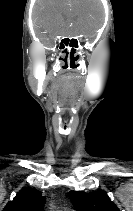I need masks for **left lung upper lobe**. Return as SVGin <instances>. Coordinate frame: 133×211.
I'll return each instance as SVG.
<instances>
[{"instance_id":"5c2ea615","label":"left lung upper lobe","mask_w":133,"mask_h":211,"mask_svg":"<svg viewBox=\"0 0 133 211\" xmlns=\"http://www.w3.org/2000/svg\"><path fill=\"white\" fill-rule=\"evenodd\" d=\"M69 197L77 211H119L103 190L70 191Z\"/></svg>"}]
</instances>
